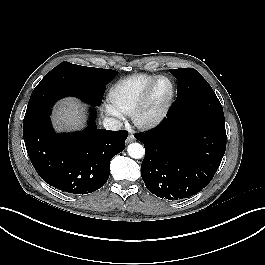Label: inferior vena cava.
Returning a JSON list of instances; mask_svg holds the SVG:
<instances>
[{
	"instance_id": "602c4592",
	"label": "inferior vena cava",
	"mask_w": 265,
	"mask_h": 265,
	"mask_svg": "<svg viewBox=\"0 0 265 265\" xmlns=\"http://www.w3.org/2000/svg\"><path fill=\"white\" fill-rule=\"evenodd\" d=\"M103 126L107 130L115 131V130H120L122 128V123L115 118L105 117L103 119Z\"/></svg>"
}]
</instances>
